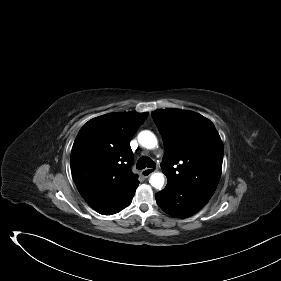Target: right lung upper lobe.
I'll list each match as a JSON object with an SVG mask.
<instances>
[{"instance_id":"obj_1","label":"right lung upper lobe","mask_w":281,"mask_h":281,"mask_svg":"<svg viewBox=\"0 0 281 281\" xmlns=\"http://www.w3.org/2000/svg\"><path fill=\"white\" fill-rule=\"evenodd\" d=\"M148 113H110L91 119L79 131L71 171L84 200L102 215L115 214L132 201L139 184L131 166L130 140Z\"/></svg>"}]
</instances>
